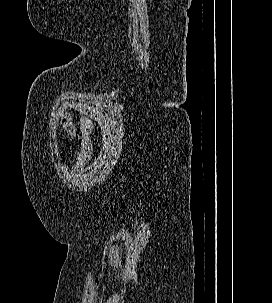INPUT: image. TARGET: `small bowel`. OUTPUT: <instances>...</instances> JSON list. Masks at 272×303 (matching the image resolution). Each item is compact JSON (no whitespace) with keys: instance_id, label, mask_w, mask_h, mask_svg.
Segmentation results:
<instances>
[{"instance_id":"obj_1","label":"small bowel","mask_w":272,"mask_h":303,"mask_svg":"<svg viewBox=\"0 0 272 303\" xmlns=\"http://www.w3.org/2000/svg\"><path fill=\"white\" fill-rule=\"evenodd\" d=\"M64 127L71 136L74 135L75 133L74 128L68 119L64 120Z\"/></svg>"}]
</instances>
